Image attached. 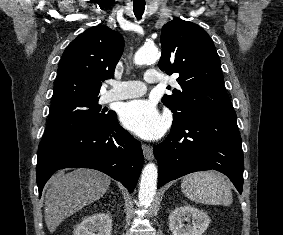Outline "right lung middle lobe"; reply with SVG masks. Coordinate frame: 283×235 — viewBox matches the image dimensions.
Instances as JSON below:
<instances>
[{
	"mask_svg": "<svg viewBox=\"0 0 283 235\" xmlns=\"http://www.w3.org/2000/svg\"><path fill=\"white\" fill-rule=\"evenodd\" d=\"M98 100L99 97H72L53 102L43 140L106 120L111 112L105 113Z\"/></svg>",
	"mask_w": 283,
	"mask_h": 235,
	"instance_id": "dd1d6c3e",
	"label": "right lung middle lobe"
}]
</instances>
